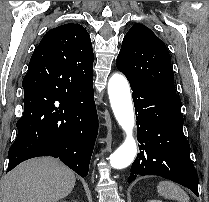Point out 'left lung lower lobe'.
<instances>
[{"mask_svg": "<svg viewBox=\"0 0 209 202\" xmlns=\"http://www.w3.org/2000/svg\"><path fill=\"white\" fill-rule=\"evenodd\" d=\"M133 90L140 153L128 182L138 176L157 175L179 183L198 196V176L183 134L181 100L177 94L128 80Z\"/></svg>", "mask_w": 209, "mask_h": 202, "instance_id": "0a47b994", "label": "left lung lower lobe"}]
</instances>
